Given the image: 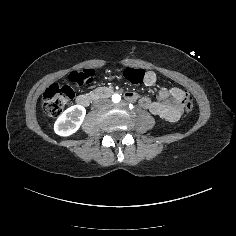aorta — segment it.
<instances>
[{
    "label": "aorta",
    "instance_id": "1",
    "mask_svg": "<svg viewBox=\"0 0 236 236\" xmlns=\"http://www.w3.org/2000/svg\"><path fill=\"white\" fill-rule=\"evenodd\" d=\"M120 100H121V96L119 94L112 95V101L114 103H118V102H120Z\"/></svg>",
    "mask_w": 236,
    "mask_h": 236
}]
</instances>
